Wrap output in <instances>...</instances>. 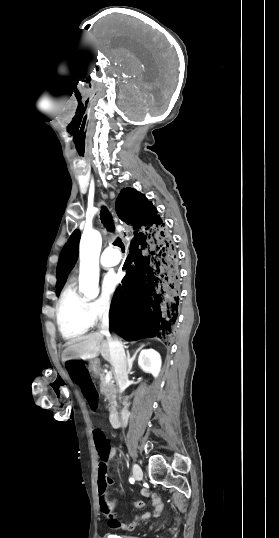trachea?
I'll list each match as a JSON object with an SVG mask.
<instances>
[{
  "instance_id": "obj_1",
  "label": "trachea",
  "mask_w": 279,
  "mask_h": 538,
  "mask_svg": "<svg viewBox=\"0 0 279 538\" xmlns=\"http://www.w3.org/2000/svg\"><path fill=\"white\" fill-rule=\"evenodd\" d=\"M100 219L107 230L114 231L115 227L113 217L106 207L101 208ZM113 245L119 246L121 248L124 247V244L122 243V240L120 238H117L113 242Z\"/></svg>"
}]
</instances>
